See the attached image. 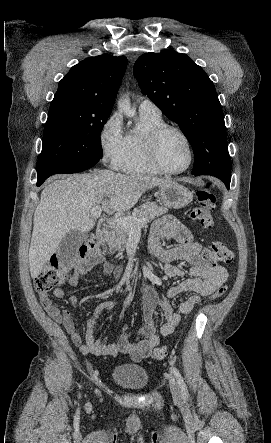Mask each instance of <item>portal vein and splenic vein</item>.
I'll return each instance as SVG.
<instances>
[{
    "instance_id": "portal-vein-and-splenic-vein-1",
    "label": "portal vein and splenic vein",
    "mask_w": 271,
    "mask_h": 443,
    "mask_svg": "<svg viewBox=\"0 0 271 443\" xmlns=\"http://www.w3.org/2000/svg\"><path fill=\"white\" fill-rule=\"evenodd\" d=\"M102 212L101 206H94L92 210H90L91 216H94V218H100ZM147 220L145 218H141V220H138V218H131V216H128V218H117V220H108L107 223L109 225H116V227H124V229H128V227H144Z\"/></svg>"
}]
</instances>
